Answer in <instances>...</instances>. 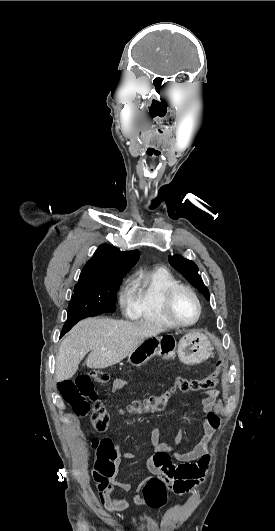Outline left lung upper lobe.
<instances>
[{"instance_id": "5c2ea615", "label": "left lung upper lobe", "mask_w": 275, "mask_h": 531, "mask_svg": "<svg viewBox=\"0 0 275 531\" xmlns=\"http://www.w3.org/2000/svg\"><path fill=\"white\" fill-rule=\"evenodd\" d=\"M169 263L179 271L195 288L198 289L204 297L209 300V290L204 285L201 277L198 275V267L196 264L180 255H173L168 257Z\"/></svg>"}]
</instances>
